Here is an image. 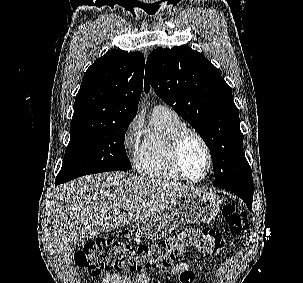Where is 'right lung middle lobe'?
Wrapping results in <instances>:
<instances>
[{
    "label": "right lung middle lobe",
    "mask_w": 303,
    "mask_h": 283,
    "mask_svg": "<svg viewBox=\"0 0 303 283\" xmlns=\"http://www.w3.org/2000/svg\"><path fill=\"white\" fill-rule=\"evenodd\" d=\"M131 121H71L70 142L57 177L67 182L88 174L129 170L124 138Z\"/></svg>",
    "instance_id": "1"
}]
</instances>
